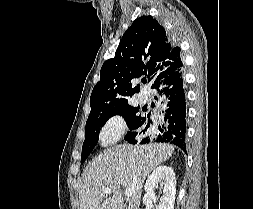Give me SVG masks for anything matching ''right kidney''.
Segmentation results:
<instances>
[{
	"mask_svg": "<svg viewBox=\"0 0 253 209\" xmlns=\"http://www.w3.org/2000/svg\"><path fill=\"white\" fill-rule=\"evenodd\" d=\"M159 185L163 187V196L156 209H174L176 178L173 169L168 166H159L148 177L144 186L146 193L143 203L148 209L153 207L152 202L156 199L155 188Z\"/></svg>",
	"mask_w": 253,
	"mask_h": 209,
	"instance_id": "1",
	"label": "right kidney"
}]
</instances>
